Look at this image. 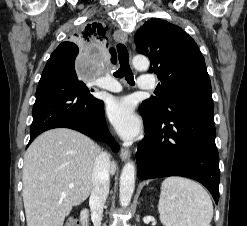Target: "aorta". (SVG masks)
<instances>
[{"mask_svg":"<svg viewBox=\"0 0 247 226\" xmlns=\"http://www.w3.org/2000/svg\"><path fill=\"white\" fill-rule=\"evenodd\" d=\"M132 64L137 70H147L150 62L147 57L137 55L133 58ZM135 188V166L133 162H128L124 165L119 185V199L123 207H127L131 201Z\"/></svg>","mask_w":247,"mask_h":226,"instance_id":"762f6f07","label":"aorta"}]
</instances>
